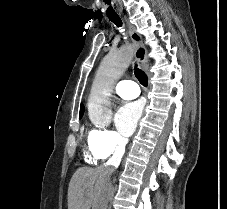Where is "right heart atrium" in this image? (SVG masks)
<instances>
[{"label":"right heart atrium","instance_id":"d8ad5b80","mask_svg":"<svg viewBox=\"0 0 227 209\" xmlns=\"http://www.w3.org/2000/svg\"><path fill=\"white\" fill-rule=\"evenodd\" d=\"M88 143L97 148L106 159L121 154L127 139L116 131L92 129L88 134Z\"/></svg>","mask_w":227,"mask_h":209}]
</instances>
